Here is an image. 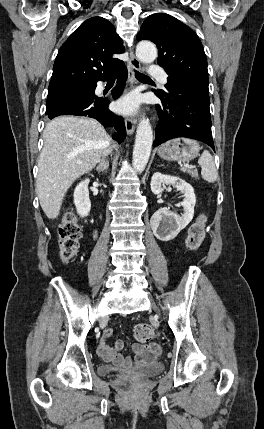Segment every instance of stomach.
Masks as SVG:
<instances>
[{"instance_id": "obj_1", "label": "stomach", "mask_w": 264, "mask_h": 429, "mask_svg": "<svg viewBox=\"0 0 264 429\" xmlns=\"http://www.w3.org/2000/svg\"><path fill=\"white\" fill-rule=\"evenodd\" d=\"M200 150L196 140L189 138H175L165 142L158 148V155L167 161H190L194 159Z\"/></svg>"}]
</instances>
